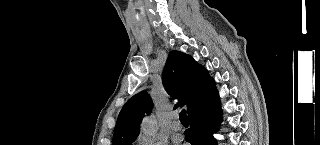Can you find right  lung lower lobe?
Returning a JSON list of instances; mask_svg holds the SVG:
<instances>
[{"label": "right lung lower lobe", "instance_id": "right-lung-lower-lobe-1", "mask_svg": "<svg viewBox=\"0 0 320 145\" xmlns=\"http://www.w3.org/2000/svg\"><path fill=\"white\" fill-rule=\"evenodd\" d=\"M188 118L190 128L185 133L187 142L191 145H216L213 133L220 126L222 111L214 81L202 105L191 111Z\"/></svg>", "mask_w": 320, "mask_h": 145}]
</instances>
